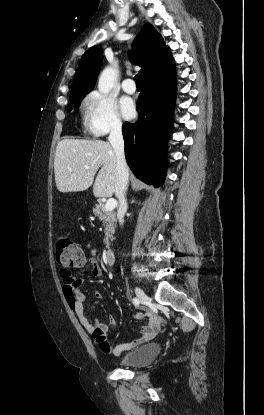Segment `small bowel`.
I'll use <instances>...</instances> for the list:
<instances>
[{
    "label": "small bowel",
    "mask_w": 264,
    "mask_h": 415,
    "mask_svg": "<svg viewBox=\"0 0 264 415\" xmlns=\"http://www.w3.org/2000/svg\"><path fill=\"white\" fill-rule=\"evenodd\" d=\"M87 263L90 265V271L93 277L101 278L103 276L102 269L96 261L93 251H91V256ZM60 277L63 281V291L65 294L70 293L73 297L72 301H69V305L73 309L74 314L84 329L98 342L103 351L118 356L124 351L132 350L151 342L157 336L163 318L154 312L148 314L137 312L132 315L134 320H146L140 326V336L135 340L111 345L107 338V333L114 327V322L112 319L108 323L93 322L86 316V297L81 292L83 279L74 276L70 270L64 268L60 270ZM94 297L98 300L103 298L99 291H94Z\"/></svg>",
    "instance_id": "obj_1"
}]
</instances>
